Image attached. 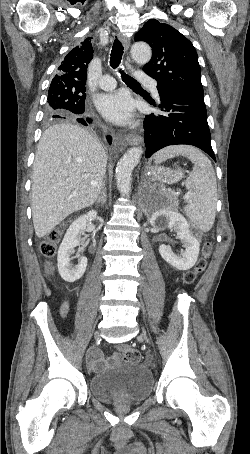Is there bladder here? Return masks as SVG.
I'll use <instances>...</instances> for the list:
<instances>
[{
	"mask_svg": "<svg viewBox=\"0 0 250 454\" xmlns=\"http://www.w3.org/2000/svg\"><path fill=\"white\" fill-rule=\"evenodd\" d=\"M88 388L103 403H140L153 391V376L139 363L122 361L114 368L90 376Z\"/></svg>",
	"mask_w": 250,
	"mask_h": 454,
	"instance_id": "31cf9c89",
	"label": "bladder"
}]
</instances>
